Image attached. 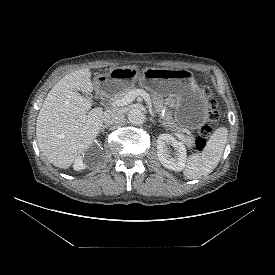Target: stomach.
<instances>
[{
  "mask_svg": "<svg viewBox=\"0 0 275 275\" xmlns=\"http://www.w3.org/2000/svg\"><path fill=\"white\" fill-rule=\"evenodd\" d=\"M137 81L154 93L177 98L175 120L180 126L193 130L206 122L208 101L190 70L149 67L140 71L135 66L114 67L97 75L94 83L97 91L114 94L133 87Z\"/></svg>",
  "mask_w": 275,
  "mask_h": 275,
  "instance_id": "obj_1",
  "label": "stomach"
}]
</instances>
